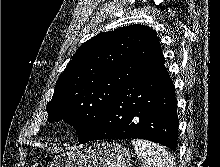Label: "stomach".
<instances>
[{"instance_id":"0dacf381","label":"stomach","mask_w":220,"mask_h":167,"mask_svg":"<svg viewBox=\"0 0 220 167\" xmlns=\"http://www.w3.org/2000/svg\"><path fill=\"white\" fill-rule=\"evenodd\" d=\"M129 151L120 144H97L57 156L50 167H130Z\"/></svg>"}]
</instances>
